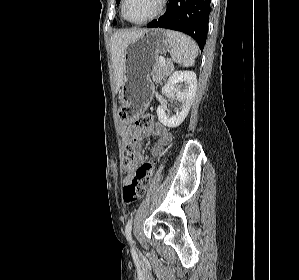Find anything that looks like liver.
I'll use <instances>...</instances> for the list:
<instances>
[{"label":"liver","instance_id":"1","mask_svg":"<svg viewBox=\"0 0 299 280\" xmlns=\"http://www.w3.org/2000/svg\"><path fill=\"white\" fill-rule=\"evenodd\" d=\"M144 30L118 31L110 39L111 59L115 74V90L119 91L124 79L125 50L129 42L136 39Z\"/></svg>","mask_w":299,"mask_h":280}]
</instances>
